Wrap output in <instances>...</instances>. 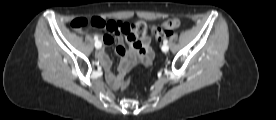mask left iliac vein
<instances>
[{
    "mask_svg": "<svg viewBox=\"0 0 276 120\" xmlns=\"http://www.w3.org/2000/svg\"><path fill=\"white\" fill-rule=\"evenodd\" d=\"M168 50H169L168 45H163V46H162V51H163V52L166 53V52H168Z\"/></svg>",
    "mask_w": 276,
    "mask_h": 120,
    "instance_id": "obj_1",
    "label": "left iliac vein"
}]
</instances>
